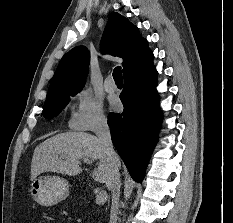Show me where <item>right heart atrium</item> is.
Wrapping results in <instances>:
<instances>
[{"instance_id":"d8ad5b80","label":"right heart atrium","mask_w":233,"mask_h":223,"mask_svg":"<svg viewBox=\"0 0 233 223\" xmlns=\"http://www.w3.org/2000/svg\"><path fill=\"white\" fill-rule=\"evenodd\" d=\"M107 126L108 121L101 101L91 91L81 90L69 120V127L74 130L98 131Z\"/></svg>"}]
</instances>
